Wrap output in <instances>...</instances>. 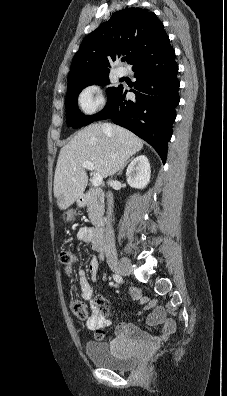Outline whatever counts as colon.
Instances as JSON below:
<instances>
[{"instance_id":"1","label":"colon","mask_w":227,"mask_h":396,"mask_svg":"<svg viewBox=\"0 0 227 396\" xmlns=\"http://www.w3.org/2000/svg\"><path fill=\"white\" fill-rule=\"evenodd\" d=\"M61 262L65 265L66 271L70 273L73 268V264L76 261V256L70 249H64L60 254ZM70 308L72 313L80 320H87L89 318V309L87 305L78 299H72L70 301Z\"/></svg>"}]
</instances>
